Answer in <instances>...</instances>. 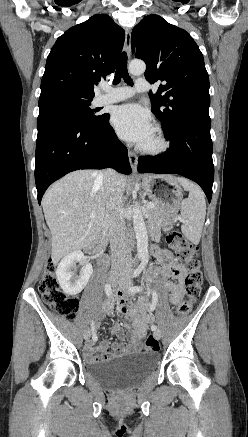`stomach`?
Returning a JSON list of instances; mask_svg holds the SVG:
<instances>
[{
    "mask_svg": "<svg viewBox=\"0 0 248 437\" xmlns=\"http://www.w3.org/2000/svg\"><path fill=\"white\" fill-rule=\"evenodd\" d=\"M142 185L148 197L167 212L163 226L170 229L172 221L178 216L182 201V193L176 179L169 175L151 174L143 177Z\"/></svg>",
    "mask_w": 248,
    "mask_h": 437,
    "instance_id": "1",
    "label": "stomach"
}]
</instances>
